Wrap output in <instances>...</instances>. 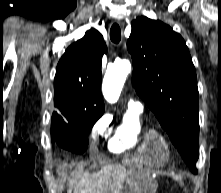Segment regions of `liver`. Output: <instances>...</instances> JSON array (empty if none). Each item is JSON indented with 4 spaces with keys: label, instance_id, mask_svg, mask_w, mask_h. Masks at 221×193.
<instances>
[{
    "label": "liver",
    "instance_id": "liver-1",
    "mask_svg": "<svg viewBox=\"0 0 221 193\" xmlns=\"http://www.w3.org/2000/svg\"><path fill=\"white\" fill-rule=\"evenodd\" d=\"M126 176V170L117 164L105 165L93 174L80 165L69 178L67 193H121Z\"/></svg>",
    "mask_w": 221,
    "mask_h": 193
}]
</instances>
